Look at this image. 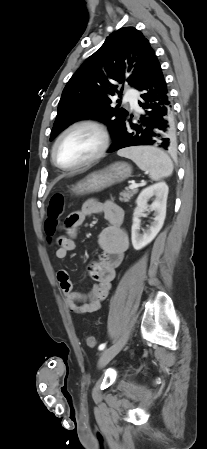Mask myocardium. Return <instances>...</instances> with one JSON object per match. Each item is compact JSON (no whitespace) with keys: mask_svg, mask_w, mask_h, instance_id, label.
<instances>
[{"mask_svg":"<svg viewBox=\"0 0 207 449\" xmlns=\"http://www.w3.org/2000/svg\"><path fill=\"white\" fill-rule=\"evenodd\" d=\"M78 128H89L92 129L93 131H95L100 139V146L98 148V150L89 158L75 163L73 165H69V166H63L61 165L56 157V150L57 147L60 143V141L71 131L78 129ZM110 145V133L108 131V129L102 125L101 123L95 122V121H91V120H80V121H76L72 124H70L68 127H66L56 138L53 147H52V152H51V156H52V160L54 162V164L62 169V170H74V169H78L80 167L86 166V165H90L96 161H98L101 157L104 156V154L106 153V151L108 150Z\"/></svg>","mask_w":207,"mask_h":449,"instance_id":"obj_1","label":"myocardium"}]
</instances>
